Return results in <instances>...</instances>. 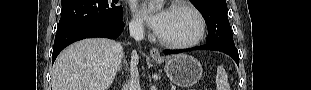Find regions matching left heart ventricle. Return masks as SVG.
<instances>
[{"mask_svg": "<svg viewBox=\"0 0 311 90\" xmlns=\"http://www.w3.org/2000/svg\"><path fill=\"white\" fill-rule=\"evenodd\" d=\"M198 24L195 17L180 9L168 11L164 28L158 34L160 37L175 42L191 40L197 33Z\"/></svg>", "mask_w": 311, "mask_h": 90, "instance_id": "left-heart-ventricle-1", "label": "left heart ventricle"}]
</instances>
